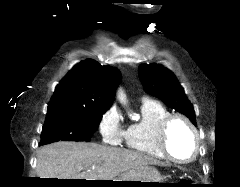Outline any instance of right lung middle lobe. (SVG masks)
<instances>
[{
  "label": "right lung middle lobe",
  "instance_id": "1",
  "mask_svg": "<svg viewBox=\"0 0 240 187\" xmlns=\"http://www.w3.org/2000/svg\"><path fill=\"white\" fill-rule=\"evenodd\" d=\"M106 110L70 105L48 108L40 143L60 140L88 142Z\"/></svg>",
  "mask_w": 240,
  "mask_h": 187
}]
</instances>
